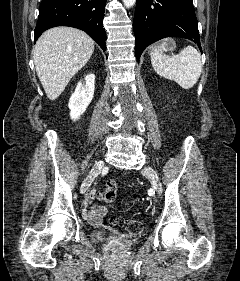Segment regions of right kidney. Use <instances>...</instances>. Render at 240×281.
Here are the masks:
<instances>
[{
  "mask_svg": "<svg viewBox=\"0 0 240 281\" xmlns=\"http://www.w3.org/2000/svg\"><path fill=\"white\" fill-rule=\"evenodd\" d=\"M95 89V75H87L83 81H80L71 95L68 107L70 109V117L76 121L86 111L91 103Z\"/></svg>",
  "mask_w": 240,
  "mask_h": 281,
  "instance_id": "obj_1",
  "label": "right kidney"
}]
</instances>
